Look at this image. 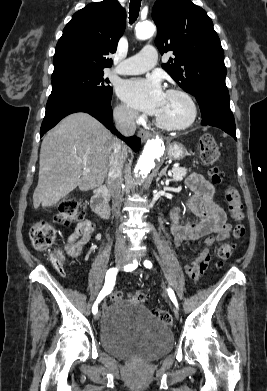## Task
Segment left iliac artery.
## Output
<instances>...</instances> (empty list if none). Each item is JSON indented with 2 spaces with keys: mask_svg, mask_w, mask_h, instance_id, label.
Listing matches in <instances>:
<instances>
[{
  "mask_svg": "<svg viewBox=\"0 0 267 391\" xmlns=\"http://www.w3.org/2000/svg\"><path fill=\"white\" fill-rule=\"evenodd\" d=\"M144 266L146 268H152V263L148 260H145L144 261ZM168 294H169V297L170 299L172 300V302L175 304L176 307H178V303H177V300H176V297H175V294L173 292L172 289H168Z\"/></svg>",
  "mask_w": 267,
  "mask_h": 391,
  "instance_id": "left-iliac-artery-1",
  "label": "left iliac artery"
}]
</instances>
